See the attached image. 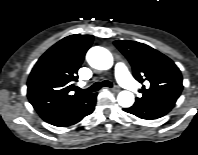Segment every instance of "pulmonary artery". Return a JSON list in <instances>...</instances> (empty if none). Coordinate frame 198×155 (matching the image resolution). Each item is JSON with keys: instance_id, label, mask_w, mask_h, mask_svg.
Masks as SVG:
<instances>
[{"instance_id": "pulmonary-artery-1", "label": "pulmonary artery", "mask_w": 198, "mask_h": 155, "mask_svg": "<svg viewBox=\"0 0 198 155\" xmlns=\"http://www.w3.org/2000/svg\"><path fill=\"white\" fill-rule=\"evenodd\" d=\"M113 71L117 80L124 88L132 91L137 89L138 85L131 77L125 64L121 62H117L113 67Z\"/></svg>"}]
</instances>
